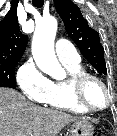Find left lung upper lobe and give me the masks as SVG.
<instances>
[{
	"instance_id": "obj_1",
	"label": "left lung upper lobe",
	"mask_w": 117,
	"mask_h": 136,
	"mask_svg": "<svg viewBox=\"0 0 117 136\" xmlns=\"http://www.w3.org/2000/svg\"><path fill=\"white\" fill-rule=\"evenodd\" d=\"M54 3L69 37L100 74H107L104 49L98 32L89 27L80 9L71 0H54Z\"/></svg>"
}]
</instances>
